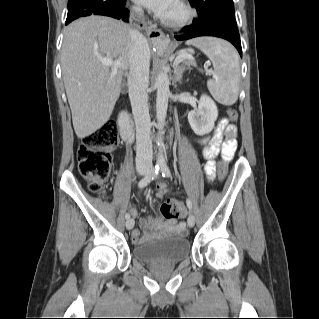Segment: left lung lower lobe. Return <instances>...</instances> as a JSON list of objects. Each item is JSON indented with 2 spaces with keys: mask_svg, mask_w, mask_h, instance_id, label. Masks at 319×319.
Instances as JSON below:
<instances>
[{
  "mask_svg": "<svg viewBox=\"0 0 319 319\" xmlns=\"http://www.w3.org/2000/svg\"><path fill=\"white\" fill-rule=\"evenodd\" d=\"M182 31L185 33L175 36L176 40H188L199 36H215L223 38L231 42L242 57L241 41L236 24L221 20H207L193 22L191 25L183 27Z\"/></svg>",
  "mask_w": 319,
  "mask_h": 319,
  "instance_id": "left-lung-lower-lobe-1",
  "label": "left lung lower lobe"
}]
</instances>
